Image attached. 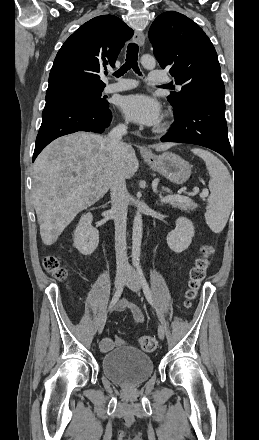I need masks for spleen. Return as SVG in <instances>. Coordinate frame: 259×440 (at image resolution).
Wrapping results in <instances>:
<instances>
[{"label":"spleen","instance_id":"obj_1","mask_svg":"<svg viewBox=\"0 0 259 440\" xmlns=\"http://www.w3.org/2000/svg\"><path fill=\"white\" fill-rule=\"evenodd\" d=\"M192 152L206 163L210 175V196L207 200L205 220L210 229L220 233L229 218L232 208V179L227 167L209 151L195 148Z\"/></svg>","mask_w":259,"mask_h":440}]
</instances>
